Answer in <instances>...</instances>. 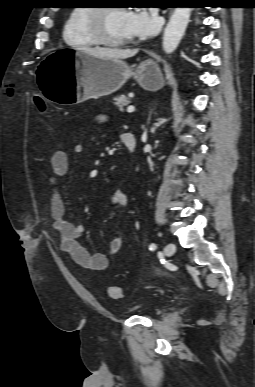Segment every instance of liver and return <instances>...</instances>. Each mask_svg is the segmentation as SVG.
<instances>
[{
	"label": "liver",
	"instance_id": "obj_1",
	"mask_svg": "<svg viewBox=\"0 0 255 387\" xmlns=\"http://www.w3.org/2000/svg\"><path fill=\"white\" fill-rule=\"evenodd\" d=\"M84 53L95 57L108 58V59H127L135 56L138 53L137 49H113V48H91L83 47L80 49Z\"/></svg>",
	"mask_w": 255,
	"mask_h": 387
}]
</instances>
